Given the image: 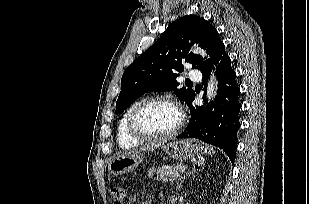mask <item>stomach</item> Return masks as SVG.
I'll use <instances>...</instances> for the list:
<instances>
[{"instance_id":"1","label":"stomach","mask_w":309,"mask_h":204,"mask_svg":"<svg viewBox=\"0 0 309 204\" xmlns=\"http://www.w3.org/2000/svg\"><path fill=\"white\" fill-rule=\"evenodd\" d=\"M163 151L170 157L177 160H188L198 156L201 146L197 140L186 139L171 141L162 146ZM144 154L126 153L112 159L108 165V170L113 175H122L136 169L143 161Z\"/></svg>"}]
</instances>
